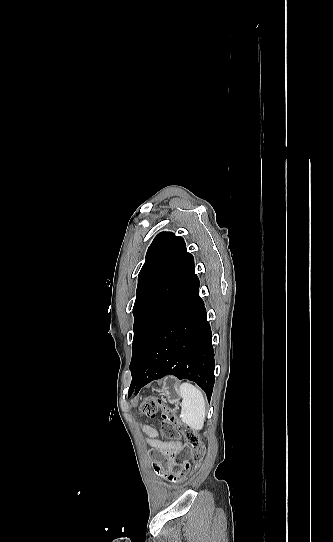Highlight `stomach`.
I'll return each mask as SVG.
<instances>
[{"mask_svg": "<svg viewBox=\"0 0 333 542\" xmlns=\"http://www.w3.org/2000/svg\"><path fill=\"white\" fill-rule=\"evenodd\" d=\"M179 388V382L176 378H173V376H166L160 390L161 396H166L169 404H178L181 398Z\"/></svg>", "mask_w": 333, "mask_h": 542, "instance_id": "1", "label": "stomach"}]
</instances>
